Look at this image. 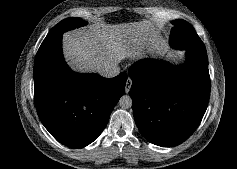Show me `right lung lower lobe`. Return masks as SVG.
Listing matches in <instances>:
<instances>
[{
  "label": "right lung lower lobe",
  "instance_id": "98d812e1",
  "mask_svg": "<svg viewBox=\"0 0 237 169\" xmlns=\"http://www.w3.org/2000/svg\"><path fill=\"white\" fill-rule=\"evenodd\" d=\"M126 73L114 78L73 72L62 54V35L45 38L34 63L38 116L60 143L81 148L93 142L124 93Z\"/></svg>",
  "mask_w": 237,
  "mask_h": 169
}]
</instances>
